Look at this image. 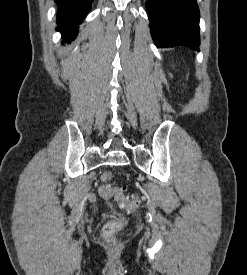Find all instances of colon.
Here are the masks:
<instances>
[{
  "mask_svg": "<svg viewBox=\"0 0 247 275\" xmlns=\"http://www.w3.org/2000/svg\"><path fill=\"white\" fill-rule=\"evenodd\" d=\"M112 179V174L110 172H105L101 176L102 182H107ZM98 192L105 198L114 196L118 201L120 207L128 212L134 211L140 204V196L137 194L126 195L122 189L111 188L108 185L101 184L98 188ZM125 225V217L118 214L117 218L112 219L105 223L102 229L103 236L106 239H112L115 234L120 231Z\"/></svg>",
  "mask_w": 247,
  "mask_h": 275,
  "instance_id": "1",
  "label": "colon"
}]
</instances>
